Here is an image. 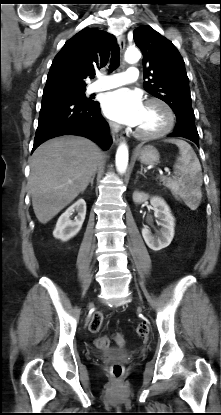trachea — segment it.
I'll use <instances>...</instances> for the list:
<instances>
[{"label": "trachea", "mask_w": 221, "mask_h": 415, "mask_svg": "<svg viewBox=\"0 0 221 415\" xmlns=\"http://www.w3.org/2000/svg\"><path fill=\"white\" fill-rule=\"evenodd\" d=\"M120 65V49L118 46L114 47L111 52L110 71L115 70Z\"/></svg>", "instance_id": "3493384b"}]
</instances>
